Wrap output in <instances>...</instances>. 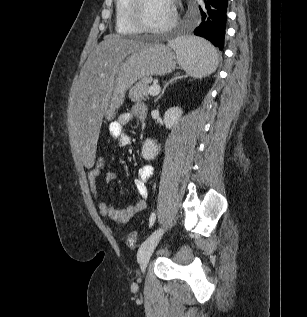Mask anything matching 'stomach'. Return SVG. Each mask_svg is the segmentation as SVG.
I'll list each match as a JSON object with an SVG mask.
<instances>
[{"label":"stomach","mask_w":307,"mask_h":317,"mask_svg":"<svg viewBox=\"0 0 307 317\" xmlns=\"http://www.w3.org/2000/svg\"><path fill=\"white\" fill-rule=\"evenodd\" d=\"M177 65L174 52L165 45L154 43L146 45L130 55L120 64L115 76L113 89L106 104L105 117H115L117 109L123 104L126 91L138 80L171 73Z\"/></svg>","instance_id":"1"}]
</instances>
